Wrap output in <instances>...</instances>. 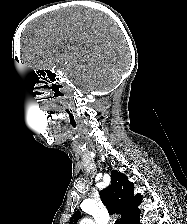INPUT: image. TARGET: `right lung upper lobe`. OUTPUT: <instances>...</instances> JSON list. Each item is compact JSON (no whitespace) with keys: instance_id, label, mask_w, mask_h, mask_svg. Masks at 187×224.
Wrapping results in <instances>:
<instances>
[{"instance_id":"1","label":"right lung upper lobe","mask_w":187,"mask_h":224,"mask_svg":"<svg viewBox=\"0 0 187 224\" xmlns=\"http://www.w3.org/2000/svg\"><path fill=\"white\" fill-rule=\"evenodd\" d=\"M111 179L110 186L100 191V198L110 214H121V224H132L139 217L142 196H134V185L126 175L112 170ZM80 214V211L75 212L69 224H77Z\"/></svg>"}]
</instances>
